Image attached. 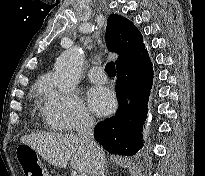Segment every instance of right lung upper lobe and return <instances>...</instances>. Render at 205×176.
Here are the masks:
<instances>
[{"mask_svg": "<svg viewBox=\"0 0 205 176\" xmlns=\"http://www.w3.org/2000/svg\"><path fill=\"white\" fill-rule=\"evenodd\" d=\"M106 44L119 54L117 68L123 67L146 52L140 31L128 19L112 14L107 20Z\"/></svg>", "mask_w": 205, "mask_h": 176, "instance_id": "obj_1", "label": "right lung upper lobe"}]
</instances>
